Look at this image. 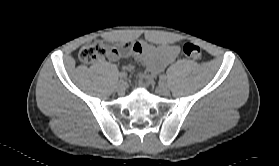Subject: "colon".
Listing matches in <instances>:
<instances>
[{"label":"colon","mask_w":279,"mask_h":166,"mask_svg":"<svg viewBox=\"0 0 279 166\" xmlns=\"http://www.w3.org/2000/svg\"><path fill=\"white\" fill-rule=\"evenodd\" d=\"M129 50L136 52L140 50V47L138 44L115 46L108 41H92L80 49L78 57L82 63L92 64L109 53H121ZM182 50L184 55L192 60H198L202 56L201 48L194 43H185ZM141 81L149 84L150 77L143 75Z\"/></svg>","instance_id":"1"}]
</instances>
